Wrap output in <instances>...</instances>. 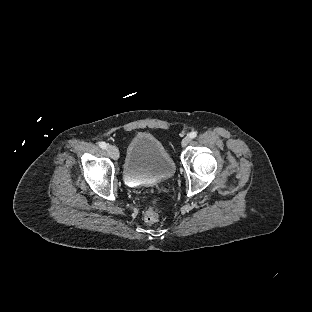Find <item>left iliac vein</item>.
<instances>
[{"instance_id": "obj_1", "label": "left iliac vein", "mask_w": 312, "mask_h": 312, "mask_svg": "<svg viewBox=\"0 0 312 312\" xmlns=\"http://www.w3.org/2000/svg\"><path fill=\"white\" fill-rule=\"evenodd\" d=\"M189 142H190V138L189 137H185V138L182 139L181 145L183 147H185V146H187L189 144Z\"/></svg>"}]
</instances>
